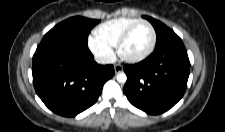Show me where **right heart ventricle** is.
<instances>
[{
    "instance_id": "right-heart-ventricle-1",
    "label": "right heart ventricle",
    "mask_w": 225,
    "mask_h": 132,
    "mask_svg": "<svg viewBox=\"0 0 225 132\" xmlns=\"http://www.w3.org/2000/svg\"><path fill=\"white\" fill-rule=\"evenodd\" d=\"M136 20L138 19L130 17L108 20L95 29L94 36L106 45L115 47L123 31Z\"/></svg>"
}]
</instances>
